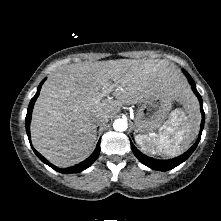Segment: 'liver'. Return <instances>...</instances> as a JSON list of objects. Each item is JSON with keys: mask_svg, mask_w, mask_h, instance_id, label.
Instances as JSON below:
<instances>
[{"mask_svg": "<svg viewBox=\"0 0 221 221\" xmlns=\"http://www.w3.org/2000/svg\"><path fill=\"white\" fill-rule=\"evenodd\" d=\"M105 89L114 91L116 100L102 99ZM163 90L174 92L179 101L189 97L178 71L165 60L118 59L60 67L49 75L35 103L33 146L52 164L73 166L93 150L96 115L112 117L123 104L141 103Z\"/></svg>", "mask_w": 221, "mask_h": 221, "instance_id": "6515ba94", "label": "liver"}]
</instances>
